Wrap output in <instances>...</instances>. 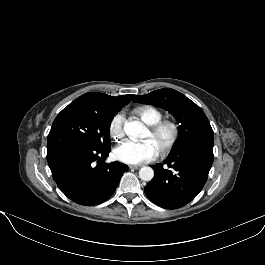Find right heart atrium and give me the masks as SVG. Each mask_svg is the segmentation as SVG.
<instances>
[{
  "instance_id": "right-heart-atrium-1",
  "label": "right heart atrium",
  "mask_w": 265,
  "mask_h": 265,
  "mask_svg": "<svg viewBox=\"0 0 265 265\" xmlns=\"http://www.w3.org/2000/svg\"><path fill=\"white\" fill-rule=\"evenodd\" d=\"M124 121L123 113H117L111 118L108 130L112 138L120 139L124 136Z\"/></svg>"
}]
</instances>
